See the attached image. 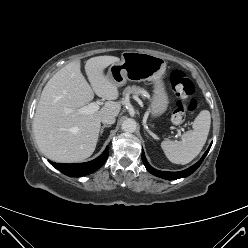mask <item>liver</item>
Listing matches in <instances>:
<instances>
[{
    "label": "liver",
    "mask_w": 248,
    "mask_h": 248,
    "mask_svg": "<svg viewBox=\"0 0 248 248\" xmlns=\"http://www.w3.org/2000/svg\"><path fill=\"white\" fill-rule=\"evenodd\" d=\"M120 59L115 56H98L87 60L85 72L80 60L60 69L45 85L34 115L33 129L42 153L50 160L74 163L90 157L98 141L101 118L117 116L121 105L114 102L119 96L104 69ZM94 93L108 100L104 107L91 114L79 109L88 104Z\"/></svg>",
    "instance_id": "6515ba94"
}]
</instances>
